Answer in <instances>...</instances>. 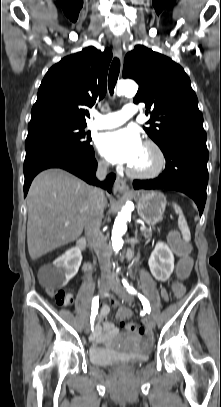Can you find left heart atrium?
<instances>
[{
	"label": "left heart atrium",
	"mask_w": 221,
	"mask_h": 407,
	"mask_svg": "<svg viewBox=\"0 0 221 407\" xmlns=\"http://www.w3.org/2000/svg\"><path fill=\"white\" fill-rule=\"evenodd\" d=\"M142 142L135 130L121 129L104 133L98 140L100 152L113 163L131 165L142 149Z\"/></svg>",
	"instance_id": "obj_1"
}]
</instances>
